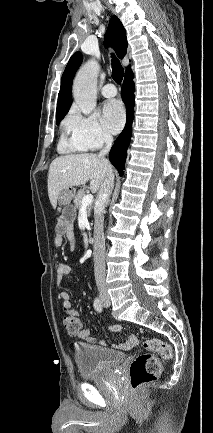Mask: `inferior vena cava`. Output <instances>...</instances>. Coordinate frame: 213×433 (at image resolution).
Wrapping results in <instances>:
<instances>
[{
  "instance_id": "obj_1",
  "label": "inferior vena cava",
  "mask_w": 213,
  "mask_h": 433,
  "mask_svg": "<svg viewBox=\"0 0 213 433\" xmlns=\"http://www.w3.org/2000/svg\"><path fill=\"white\" fill-rule=\"evenodd\" d=\"M105 147L100 151L99 157L104 158L111 149L113 137L104 135ZM114 184V175L110 171L105 177L97 196L94 208V273L98 291L106 292L105 284V237L103 230V211L111 195Z\"/></svg>"
}]
</instances>
